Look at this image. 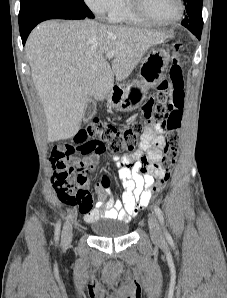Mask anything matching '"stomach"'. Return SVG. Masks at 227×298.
Segmentation results:
<instances>
[{
    "mask_svg": "<svg viewBox=\"0 0 227 298\" xmlns=\"http://www.w3.org/2000/svg\"><path fill=\"white\" fill-rule=\"evenodd\" d=\"M168 63L169 56L166 50L152 47L140 66V79L131 82L126 88L112 89L107 97L109 107L122 112H131L139 108L147 97L148 89L162 78Z\"/></svg>",
    "mask_w": 227,
    "mask_h": 298,
    "instance_id": "0dacf381",
    "label": "stomach"
}]
</instances>
